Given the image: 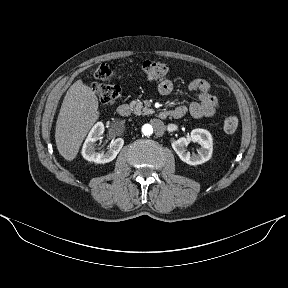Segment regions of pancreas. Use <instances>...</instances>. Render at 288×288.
<instances>
[{
    "label": "pancreas",
    "mask_w": 288,
    "mask_h": 288,
    "mask_svg": "<svg viewBox=\"0 0 288 288\" xmlns=\"http://www.w3.org/2000/svg\"><path fill=\"white\" fill-rule=\"evenodd\" d=\"M130 107L136 115H148L154 112L152 109L143 107V103L139 100L130 102Z\"/></svg>",
    "instance_id": "1"
}]
</instances>
